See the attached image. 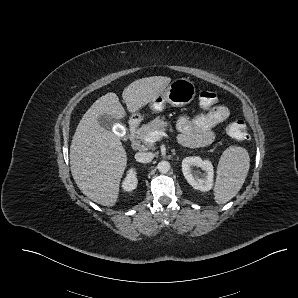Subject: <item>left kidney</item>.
<instances>
[{
	"mask_svg": "<svg viewBox=\"0 0 298 298\" xmlns=\"http://www.w3.org/2000/svg\"><path fill=\"white\" fill-rule=\"evenodd\" d=\"M181 167L184 178L194 189L202 192H207L212 189L214 168L211 161L203 160L199 156H189L182 160ZM192 167L201 168L204 173L201 176L194 175Z\"/></svg>",
	"mask_w": 298,
	"mask_h": 298,
	"instance_id": "obj_1",
	"label": "left kidney"
}]
</instances>
